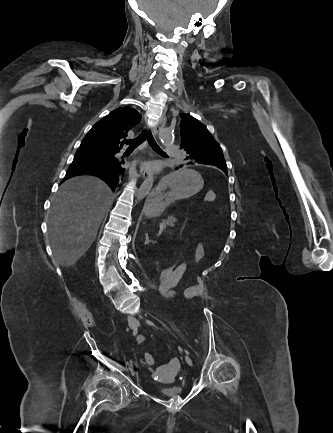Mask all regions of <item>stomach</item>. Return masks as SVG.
Returning <instances> with one entry per match:
<instances>
[{"label":"stomach","mask_w":333,"mask_h":433,"mask_svg":"<svg viewBox=\"0 0 333 433\" xmlns=\"http://www.w3.org/2000/svg\"><path fill=\"white\" fill-rule=\"evenodd\" d=\"M202 187L198 169H173L171 174L161 176V183H156L152 195H149V203L145 207L146 220H160L171 202L176 199H189Z\"/></svg>","instance_id":"1"}]
</instances>
